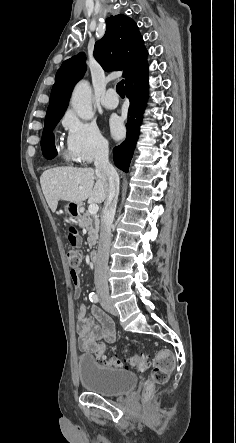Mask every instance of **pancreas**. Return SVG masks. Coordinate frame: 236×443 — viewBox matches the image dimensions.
I'll return each mask as SVG.
<instances>
[{"label": "pancreas", "mask_w": 236, "mask_h": 443, "mask_svg": "<svg viewBox=\"0 0 236 443\" xmlns=\"http://www.w3.org/2000/svg\"><path fill=\"white\" fill-rule=\"evenodd\" d=\"M100 220L98 216L91 215L88 211L80 217L79 225L86 228L88 231V244L90 248H93L98 240Z\"/></svg>", "instance_id": "cf45deb5"}]
</instances>
